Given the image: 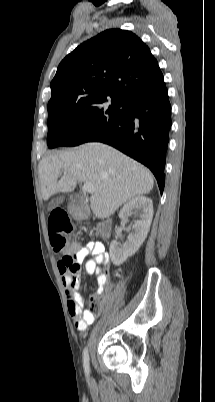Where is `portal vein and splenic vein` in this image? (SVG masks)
<instances>
[{"mask_svg": "<svg viewBox=\"0 0 215 402\" xmlns=\"http://www.w3.org/2000/svg\"><path fill=\"white\" fill-rule=\"evenodd\" d=\"M83 191L93 193L95 191V187L92 183H84Z\"/></svg>", "mask_w": 215, "mask_h": 402, "instance_id": "portal-vein-and-splenic-vein-1", "label": "portal vein and splenic vein"}]
</instances>
